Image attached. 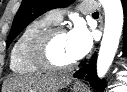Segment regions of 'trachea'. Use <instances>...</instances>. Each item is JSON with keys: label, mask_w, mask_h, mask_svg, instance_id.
Here are the masks:
<instances>
[{"label": "trachea", "mask_w": 127, "mask_h": 92, "mask_svg": "<svg viewBox=\"0 0 127 92\" xmlns=\"http://www.w3.org/2000/svg\"><path fill=\"white\" fill-rule=\"evenodd\" d=\"M92 15L93 16H99V13L98 12H94Z\"/></svg>", "instance_id": "obj_1"}]
</instances>
